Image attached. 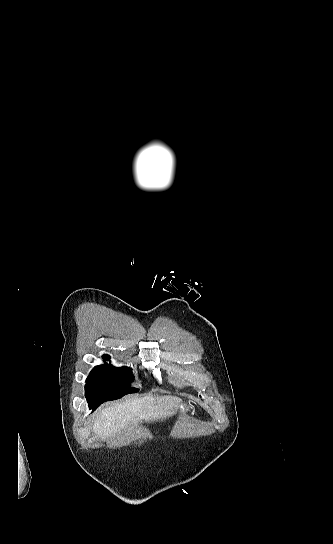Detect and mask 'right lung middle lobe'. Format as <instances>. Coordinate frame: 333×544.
<instances>
[{
	"label": "right lung middle lobe",
	"mask_w": 333,
	"mask_h": 544,
	"mask_svg": "<svg viewBox=\"0 0 333 544\" xmlns=\"http://www.w3.org/2000/svg\"><path fill=\"white\" fill-rule=\"evenodd\" d=\"M109 360V356H104ZM128 367L114 368L110 364L96 366L90 373L85 386V396L90 409L95 410L105 401L119 399L126 394L138 392L139 389L130 387L133 376Z\"/></svg>",
	"instance_id": "obj_1"
}]
</instances>
